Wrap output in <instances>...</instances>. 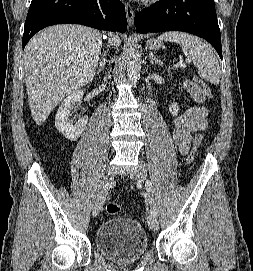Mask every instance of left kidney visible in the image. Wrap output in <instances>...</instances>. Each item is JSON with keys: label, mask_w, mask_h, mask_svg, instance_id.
I'll use <instances>...</instances> for the list:
<instances>
[{"label": "left kidney", "mask_w": 253, "mask_h": 271, "mask_svg": "<svg viewBox=\"0 0 253 271\" xmlns=\"http://www.w3.org/2000/svg\"><path fill=\"white\" fill-rule=\"evenodd\" d=\"M169 111L171 112L173 116H177L179 112L178 104L176 102L171 103V105H169Z\"/></svg>", "instance_id": "5707ae66"}]
</instances>
